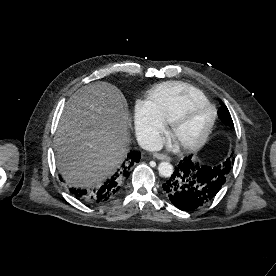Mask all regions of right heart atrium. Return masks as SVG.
<instances>
[{
    "label": "right heart atrium",
    "instance_id": "1",
    "mask_svg": "<svg viewBox=\"0 0 276 276\" xmlns=\"http://www.w3.org/2000/svg\"><path fill=\"white\" fill-rule=\"evenodd\" d=\"M136 129L140 139L146 146L156 147L161 142L165 125L150 112L146 103H141L136 114Z\"/></svg>",
    "mask_w": 276,
    "mask_h": 276
}]
</instances>
